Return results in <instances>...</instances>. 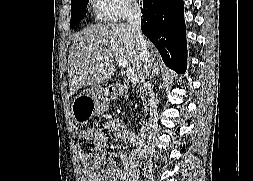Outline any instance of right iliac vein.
Masks as SVG:
<instances>
[{
  "instance_id": "obj_1",
  "label": "right iliac vein",
  "mask_w": 253,
  "mask_h": 181,
  "mask_svg": "<svg viewBox=\"0 0 253 181\" xmlns=\"http://www.w3.org/2000/svg\"><path fill=\"white\" fill-rule=\"evenodd\" d=\"M145 181H154L153 176L151 173L147 174L145 177Z\"/></svg>"
}]
</instances>
